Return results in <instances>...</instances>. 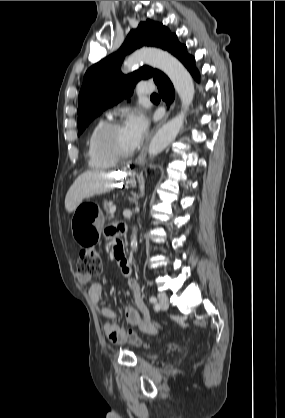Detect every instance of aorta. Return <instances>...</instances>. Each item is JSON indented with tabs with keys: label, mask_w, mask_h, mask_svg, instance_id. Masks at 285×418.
I'll use <instances>...</instances> for the list:
<instances>
[{
	"label": "aorta",
	"mask_w": 285,
	"mask_h": 418,
	"mask_svg": "<svg viewBox=\"0 0 285 418\" xmlns=\"http://www.w3.org/2000/svg\"><path fill=\"white\" fill-rule=\"evenodd\" d=\"M141 62L163 71L171 80L178 93L182 110L181 112L164 124L151 140L148 148L150 157L161 153L178 135L184 123L185 111L189 108L194 97V83L186 68L171 54L156 48H145L134 52L125 62L128 70L135 68ZM131 247L137 248V233L133 229Z\"/></svg>",
	"instance_id": "1"
}]
</instances>
